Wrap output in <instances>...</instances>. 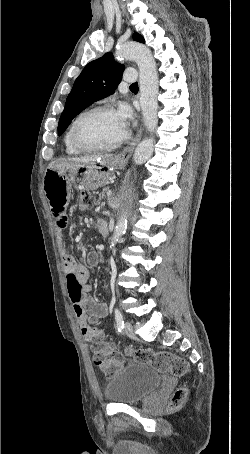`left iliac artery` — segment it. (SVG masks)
Here are the masks:
<instances>
[{
    "mask_svg": "<svg viewBox=\"0 0 250 454\" xmlns=\"http://www.w3.org/2000/svg\"><path fill=\"white\" fill-rule=\"evenodd\" d=\"M115 321H116V328L119 333L123 331L124 328V320L121 312L115 308Z\"/></svg>",
    "mask_w": 250,
    "mask_h": 454,
    "instance_id": "1",
    "label": "left iliac artery"
}]
</instances>
